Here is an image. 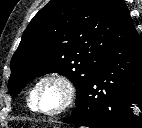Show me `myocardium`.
Returning <instances> with one entry per match:
<instances>
[{
  "mask_svg": "<svg viewBox=\"0 0 142 128\" xmlns=\"http://www.w3.org/2000/svg\"><path fill=\"white\" fill-rule=\"evenodd\" d=\"M48 82H55L59 84L64 90V101L62 105L54 111L43 110L39 104V97L42 87ZM75 99L76 87L73 81L63 73L53 72L41 77L37 83V87L34 94L35 111L49 117L59 116L68 111L72 107V105L75 102Z\"/></svg>",
  "mask_w": 142,
  "mask_h": 128,
  "instance_id": "myocardium-1",
  "label": "myocardium"
}]
</instances>
